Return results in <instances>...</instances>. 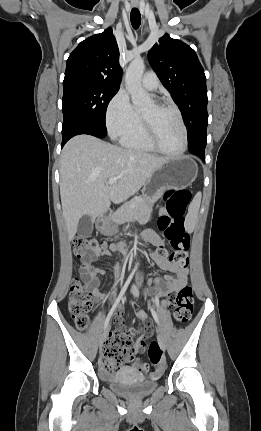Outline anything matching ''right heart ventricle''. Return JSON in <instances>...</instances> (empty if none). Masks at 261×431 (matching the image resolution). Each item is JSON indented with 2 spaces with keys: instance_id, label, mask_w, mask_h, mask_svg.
<instances>
[{
  "instance_id": "1",
  "label": "right heart ventricle",
  "mask_w": 261,
  "mask_h": 431,
  "mask_svg": "<svg viewBox=\"0 0 261 431\" xmlns=\"http://www.w3.org/2000/svg\"><path fill=\"white\" fill-rule=\"evenodd\" d=\"M121 144L126 148L143 151V152H155V148L148 141L141 117L138 115V122L135 127L127 134L121 137Z\"/></svg>"
}]
</instances>
